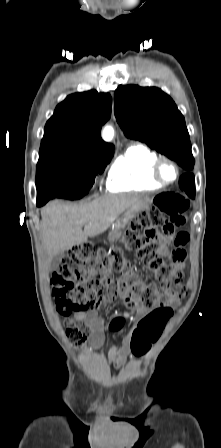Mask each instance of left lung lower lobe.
Here are the masks:
<instances>
[{
    "label": "left lung lower lobe",
    "instance_id": "1",
    "mask_svg": "<svg viewBox=\"0 0 221 448\" xmlns=\"http://www.w3.org/2000/svg\"><path fill=\"white\" fill-rule=\"evenodd\" d=\"M179 186L191 198L195 197V181L193 174H184L180 177Z\"/></svg>",
    "mask_w": 221,
    "mask_h": 448
}]
</instances>
